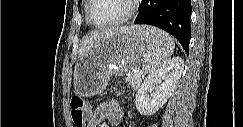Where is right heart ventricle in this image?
Listing matches in <instances>:
<instances>
[{
    "label": "right heart ventricle",
    "mask_w": 243,
    "mask_h": 127,
    "mask_svg": "<svg viewBox=\"0 0 243 127\" xmlns=\"http://www.w3.org/2000/svg\"><path fill=\"white\" fill-rule=\"evenodd\" d=\"M86 7H87V2L85 3V10H86Z\"/></svg>",
    "instance_id": "right-heart-ventricle-1"
}]
</instances>
